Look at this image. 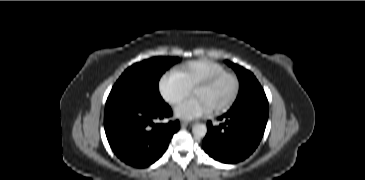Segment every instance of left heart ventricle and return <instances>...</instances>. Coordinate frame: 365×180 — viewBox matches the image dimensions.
Returning a JSON list of instances; mask_svg holds the SVG:
<instances>
[{
    "instance_id": "left-heart-ventricle-1",
    "label": "left heart ventricle",
    "mask_w": 365,
    "mask_h": 180,
    "mask_svg": "<svg viewBox=\"0 0 365 180\" xmlns=\"http://www.w3.org/2000/svg\"><path fill=\"white\" fill-rule=\"evenodd\" d=\"M234 89V83L232 81H229V83L227 84V87L225 88V98L230 97V94H232V90ZM227 94V96H226Z\"/></svg>"
}]
</instances>
